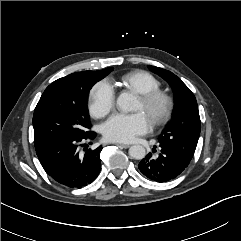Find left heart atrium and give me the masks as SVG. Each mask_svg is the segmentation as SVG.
<instances>
[{
    "label": "left heart atrium",
    "mask_w": 241,
    "mask_h": 241,
    "mask_svg": "<svg viewBox=\"0 0 241 241\" xmlns=\"http://www.w3.org/2000/svg\"><path fill=\"white\" fill-rule=\"evenodd\" d=\"M151 122L144 112L115 114L103 125V135L111 142L128 143L147 133Z\"/></svg>",
    "instance_id": "39dd6f15"
}]
</instances>
